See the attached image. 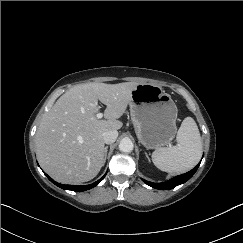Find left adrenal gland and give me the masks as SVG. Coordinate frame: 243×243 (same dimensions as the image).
Instances as JSON below:
<instances>
[{
    "mask_svg": "<svg viewBox=\"0 0 243 243\" xmlns=\"http://www.w3.org/2000/svg\"><path fill=\"white\" fill-rule=\"evenodd\" d=\"M146 154V157L148 158V160H149V157H148V155H147V153H145Z\"/></svg>",
    "mask_w": 243,
    "mask_h": 243,
    "instance_id": "left-adrenal-gland-1",
    "label": "left adrenal gland"
}]
</instances>
